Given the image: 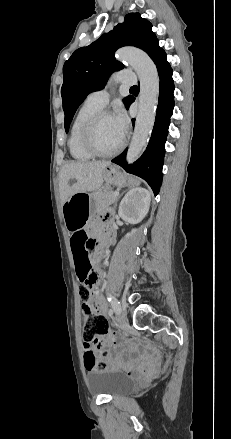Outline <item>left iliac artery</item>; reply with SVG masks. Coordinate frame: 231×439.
<instances>
[{"label":"left iliac artery","mask_w":231,"mask_h":439,"mask_svg":"<svg viewBox=\"0 0 231 439\" xmlns=\"http://www.w3.org/2000/svg\"><path fill=\"white\" fill-rule=\"evenodd\" d=\"M107 299L111 303L114 310H116L120 306L117 299L114 296H112L110 293H107Z\"/></svg>","instance_id":"44dca946"}]
</instances>
